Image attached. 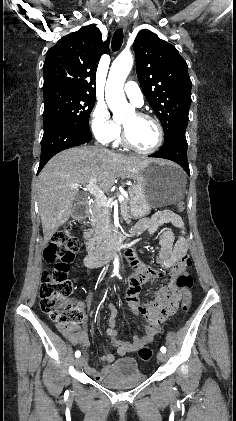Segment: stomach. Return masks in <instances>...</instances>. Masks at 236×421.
I'll return each instance as SVG.
<instances>
[{"instance_id": "stomach-1", "label": "stomach", "mask_w": 236, "mask_h": 421, "mask_svg": "<svg viewBox=\"0 0 236 421\" xmlns=\"http://www.w3.org/2000/svg\"><path fill=\"white\" fill-rule=\"evenodd\" d=\"M184 170L173 162L152 160L138 170L134 184L129 186V215L142 219L153 206H167L179 202L185 194Z\"/></svg>"}]
</instances>
